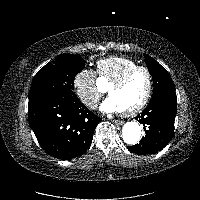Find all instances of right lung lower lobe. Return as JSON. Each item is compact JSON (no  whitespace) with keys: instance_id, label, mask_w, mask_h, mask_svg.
<instances>
[{"instance_id":"98d812e1","label":"right lung lower lobe","mask_w":200,"mask_h":200,"mask_svg":"<svg viewBox=\"0 0 200 200\" xmlns=\"http://www.w3.org/2000/svg\"><path fill=\"white\" fill-rule=\"evenodd\" d=\"M29 124L40 146L62 160L76 158L89 148L101 120L77 98H40L29 101Z\"/></svg>"}]
</instances>
